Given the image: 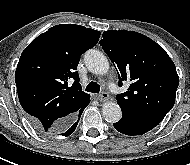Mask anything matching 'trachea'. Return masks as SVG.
Returning a JSON list of instances; mask_svg holds the SVG:
<instances>
[{
  "label": "trachea",
  "instance_id": "trachea-1",
  "mask_svg": "<svg viewBox=\"0 0 190 165\" xmlns=\"http://www.w3.org/2000/svg\"><path fill=\"white\" fill-rule=\"evenodd\" d=\"M86 91L87 92H91V93H99L100 91V85L96 82H90L87 86H86Z\"/></svg>",
  "mask_w": 190,
  "mask_h": 165
}]
</instances>
